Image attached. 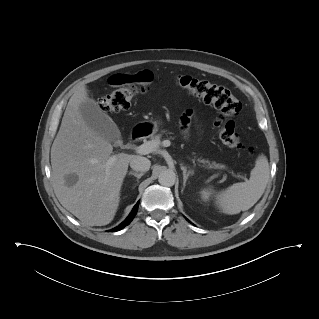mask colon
I'll use <instances>...</instances> for the list:
<instances>
[{"label":"colon","mask_w":319,"mask_h":319,"mask_svg":"<svg viewBox=\"0 0 319 319\" xmlns=\"http://www.w3.org/2000/svg\"><path fill=\"white\" fill-rule=\"evenodd\" d=\"M110 84L116 89L105 96L101 102L102 108L109 113L128 110L131 100L150 88V80L142 78L139 74L114 75L110 78ZM177 84L220 111L221 115L215 123V128L222 143L232 148H244L232 120L241 111L242 105L228 88L191 76H179Z\"/></svg>","instance_id":"obj_1"}]
</instances>
